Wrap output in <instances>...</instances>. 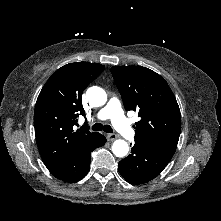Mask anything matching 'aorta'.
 <instances>
[{
  "instance_id": "762f6f07",
  "label": "aorta",
  "mask_w": 221,
  "mask_h": 221,
  "mask_svg": "<svg viewBox=\"0 0 221 221\" xmlns=\"http://www.w3.org/2000/svg\"><path fill=\"white\" fill-rule=\"evenodd\" d=\"M86 98L91 106L99 107L106 103V92L97 86H93L87 89ZM129 151V146L125 140L118 139L114 141L112 145V152L117 157H124Z\"/></svg>"
}]
</instances>
